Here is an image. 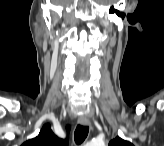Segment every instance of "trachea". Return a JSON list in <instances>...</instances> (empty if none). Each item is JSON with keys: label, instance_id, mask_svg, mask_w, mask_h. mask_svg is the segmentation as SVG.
<instances>
[{"label": "trachea", "instance_id": "3493384b", "mask_svg": "<svg viewBox=\"0 0 164 146\" xmlns=\"http://www.w3.org/2000/svg\"><path fill=\"white\" fill-rule=\"evenodd\" d=\"M89 132V127L83 125H77L74 133V140L76 144H81L86 139Z\"/></svg>", "mask_w": 164, "mask_h": 146}]
</instances>
